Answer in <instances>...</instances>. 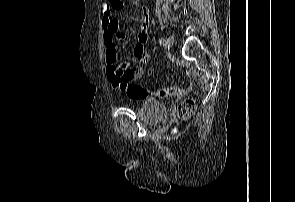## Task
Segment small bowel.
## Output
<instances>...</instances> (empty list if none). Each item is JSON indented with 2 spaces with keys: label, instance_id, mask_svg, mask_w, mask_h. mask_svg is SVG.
<instances>
[{
  "label": "small bowel",
  "instance_id": "obj_1",
  "mask_svg": "<svg viewBox=\"0 0 295 202\" xmlns=\"http://www.w3.org/2000/svg\"><path fill=\"white\" fill-rule=\"evenodd\" d=\"M123 7H114L110 0H105L102 6V27H103V43L106 49L107 76L109 81L116 87L120 82V71L130 70L134 78H140L143 68H130V61L121 59L118 52V42L123 39V34L119 30V22L114 12L120 11ZM149 11L143 8L141 12V28L138 32V42L132 48L131 55L135 62L147 63L148 55L145 53L144 47L147 43L148 35ZM112 55V56H110Z\"/></svg>",
  "mask_w": 295,
  "mask_h": 202
}]
</instances>
